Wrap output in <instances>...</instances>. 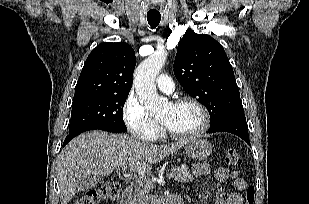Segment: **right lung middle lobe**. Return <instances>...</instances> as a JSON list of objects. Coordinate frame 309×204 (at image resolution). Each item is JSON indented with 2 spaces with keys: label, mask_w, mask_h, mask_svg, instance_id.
I'll list each match as a JSON object with an SVG mask.
<instances>
[{
  "label": "right lung middle lobe",
  "mask_w": 309,
  "mask_h": 204,
  "mask_svg": "<svg viewBox=\"0 0 309 204\" xmlns=\"http://www.w3.org/2000/svg\"><path fill=\"white\" fill-rule=\"evenodd\" d=\"M128 94L105 95L72 104L69 134L83 129L125 132L123 106Z\"/></svg>",
  "instance_id": "obj_1"
}]
</instances>
